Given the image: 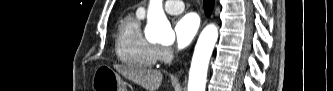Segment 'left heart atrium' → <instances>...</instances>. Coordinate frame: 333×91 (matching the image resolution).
<instances>
[{
    "instance_id": "1",
    "label": "left heart atrium",
    "mask_w": 333,
    "mask_h": 91,
    "mask_svg": "<svg viewBox=\"0 0 333 91\" xmlns=\"http://www.w3.org/2000/svg\"><path fill=\"white\" fill-rule=\"evenodd\" d=\"M199 27L198 17L193 13L181 16L174 24L175 42L178 48L187 47L194 39Z\"/></svg>"
}]
</instances>
